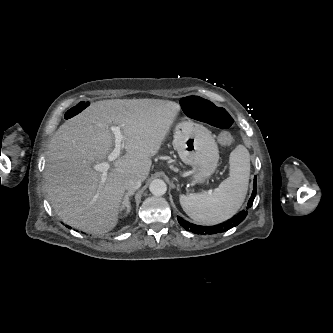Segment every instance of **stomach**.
<instances>
[{
  "instance_id": "obj_1",
  "label": "stomach",
  "mask_w": 333,
  "mask_h": 333,
  "mask_svg": "<svg viewBox=\"0 0 333 333\" xmlns=\"http://www.w3.org/2000/svg\"><path fill=\"white\" fill-rule=\"evenodd\" d=\"M174 147L181 160L193 166V181L203 183L216 170L219 150L212 132L191 120L180 122L174 132Z\"/></svg>"
}]
</instances>
